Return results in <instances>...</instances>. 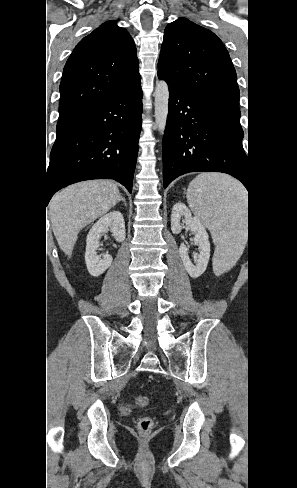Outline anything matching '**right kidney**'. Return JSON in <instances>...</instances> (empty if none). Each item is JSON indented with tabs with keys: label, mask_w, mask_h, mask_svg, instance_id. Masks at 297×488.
<instances>
[{
	"label": "right kidney",
	"mask_w": 297,
	"mask_h": 488,
	"mask_svg": "<svg viewBox=\"0 0 297 488\" xmlns=\"http://www.w3.org/2000/svg\"><path fill=\"white\" fill-rule=\"evenodd\" d=\"M109 228L117 242L125 240V222L121 212L113 210L105 214L92 226L87 235L85 262L92 276L101 275L113 262L112 256L108 253L102 256L96 254V250L99 247V240L102 234L107 232Z\"/></svg>",
	"instance_id": "obj_1"
}]
</instances>
